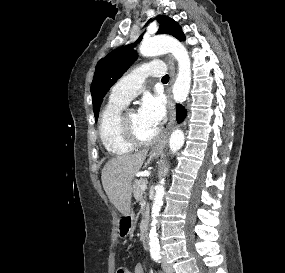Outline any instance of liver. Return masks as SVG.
Here are the masks:
<instances>
[{
	"instance_id": "liver-1",
	"label": "liver",
	"mask_w": 285,
	"mask_h": 273,
	"mask_svg": "<svg viewBox=\"0 0 285 273\" xmlns=\"http://www.w3.org/2000/svg\"><path fill=\"white\" fill-rule=\"evenodd\" d=\"M148 150L135 154L116 156L110 159L102 169L103 188L111 203L118 211L127 216L131 210V183L140 170Z\"/></svg>"
}]
</instances>
